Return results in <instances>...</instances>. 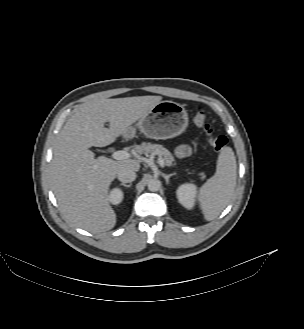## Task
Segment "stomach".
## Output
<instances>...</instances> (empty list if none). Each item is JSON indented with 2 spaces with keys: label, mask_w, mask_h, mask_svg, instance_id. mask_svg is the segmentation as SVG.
I'll list each match as a JSON object with an SVG mask.
<instances>
[{
  "label": "stomach",
  "mask_w": 304,
  "mask_h": 329,
  "mask_svg": "<svg viewBox=\"0 0 304 329\" xmlns=\"http://www.w3.org/2000/svg\"><path fill=\"white\" fill-rule=\"evenodd\" d=\"M188 126V114L183 105L173 101H161L137 123V128L148 138L169 139L180 135ZM135 128L128 127L122 134L130 139Z\"/></svg>",
  "instance_id": "1"
}]
</instances>
